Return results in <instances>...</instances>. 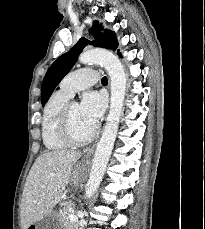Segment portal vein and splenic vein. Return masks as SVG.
<instances>
[{
	"label": "portal vein and splenic vein",
	"instance_id": "18ae733b",
	"mask_svg": "<svg viewBox=\"0 0 205 229\" xmlns=\"http://www.w3.org/2000/svg\"><path fill=\"white\" fill-rule=\"evenodd\" d=\"M69 219L72 220V221H78L77 216H75L74 214H70L69 215Z\"/></svg>",
	"mask_w": 205,
	"mask_h": 229
}]
</instances>
